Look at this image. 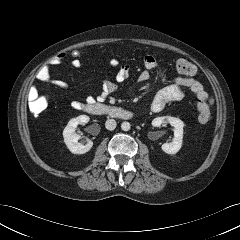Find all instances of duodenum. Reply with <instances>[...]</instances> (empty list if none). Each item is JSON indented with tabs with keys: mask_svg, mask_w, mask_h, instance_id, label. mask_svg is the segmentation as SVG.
<instances>
[{
	"mask_svg": "<svg viewBox=\"0 0 240 240\" xmlns=\"http://www.w3.org/2000/svg\"><path fill=\"white\" fill-rule=\"evenodd\" d=\"M83 110L92 115H105L117 119H129L132 114L120 107L108 106L100 103H89L83 107Z\"/></svg>",
	"mask_w": 240,
	"mask_h": 240,
	"instance_id": "duodenum-1",
	"label": "duodenum"
}]
</instances>
